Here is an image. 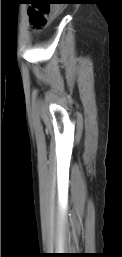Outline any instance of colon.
Returning <instances> with one entry per match:
<instances>
[{
	"label": "colon",
	"instance_id": "obj_1",
	"mask_svg": "<svg viewBox=\"0 0 122 257\" xmlns=\"http://www.w3.org/2000/svg\"><path fill=\"white\" fill-rule=\"evenodd\" d=\"M52 10V5H35L29 11L33 27L40 29L47 24Z\"/></svg>",
	"mask_w": 122,
	"mask_h": 257
}]
</instances>
